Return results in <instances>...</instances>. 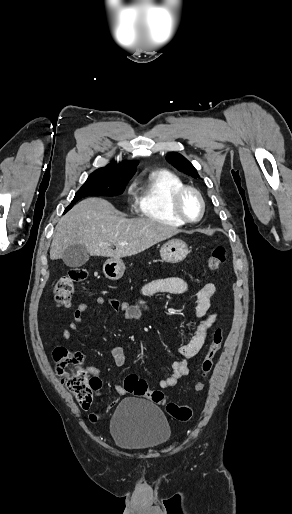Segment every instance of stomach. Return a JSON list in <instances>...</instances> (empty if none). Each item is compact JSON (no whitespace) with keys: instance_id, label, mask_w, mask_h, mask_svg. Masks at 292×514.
<instances>
[{"instance_id":"obj_1","label":"stomach","mask_w":292,"mask_h":514,"mask_svg":"<svg viewBox=\"0 0 292 514\" xmlns=\"http://www.w3.org/2000/svg\"><path fill=\"white\" fill-rule=\"evenodd\" d=\"M188 254L187 244L182 240H169L160 250L163 262L178 264L183 262ZM103 272L108 280H119L125 272V264L120 258H111L103 264Z\"/></svg>"}]
</instances>
